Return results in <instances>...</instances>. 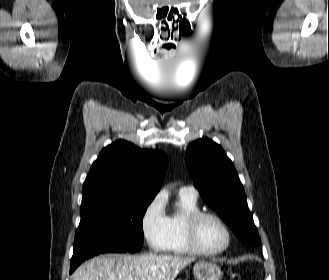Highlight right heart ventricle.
Masks as SVG:
<instances>
[{"label":"right heart ventricle","mask_w":329,"mask_h":280,"mask_svg":"<svg viewBox=\"0 0 329 280\" xmlns=\"http://www.w3.org/2000/svg\"><path fill=\"white\" fill-rule=\"evenodd\" d=\"M178 205L179 208L167 216V238L163 250L175 255H190L193 252L186 241L185 222L200 208L197 198L183 192H179Z\"/></svg>","instance_id":"right-heart-ventricle-1"}]
</instances>
